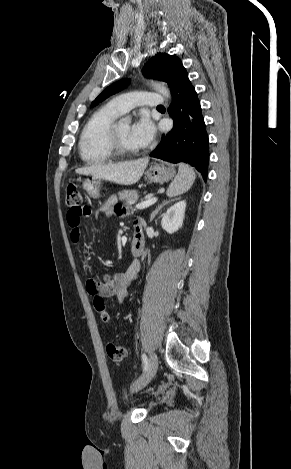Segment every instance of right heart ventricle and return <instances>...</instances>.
Listing matches in <instances>:
<instances>
[{
	"label": "right heart ventricle",
	"instance_id": "right-heart-ventricle-1",
	"mask_svg": "<svg viewBox=\"0 0 291 469\" xmlns=\"http://www.w3.org/2000/svg\"><path fill=\"white\" fill-rule=\"evenodd\" d=\"M121 114L111 103H108L89 117L78 142L79 154L85 163L97 165L113 159L114 155L108 145V131Z\"/></svg>",
	"mask_w": 291,
	"mask_h": 469
}]
</instances>
